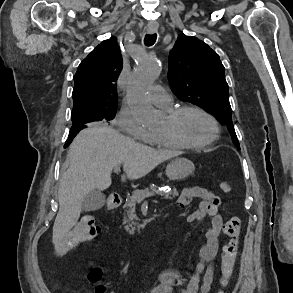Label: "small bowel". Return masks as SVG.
I'll return each mask as SVG.
<instances>
[{
    "mask_svg": "<svg viewBox=\"0 0 293 293\" xmlns=\"http://www.w3.org/2000/svg\"><path fill=\"white\" fill-rule=\"evenodd\" d=\"M195 198L201 201L198 207L188 214V222L197 223L205 217L210 218V224L205 232V243L200 248L199 260L193 269L185 272L176 270L160 272L157 277L158 283L152 288L151 293H209L211 291L215 270L210 264L218 252V238L224 220L219 211L220 198L201 187L182 189L175 206L183 210Z\"/></svg>",
    "mask_w": 293,
    "mask_h": 293,
    "instance_id": "obj_1",
    "label": "small bowel"
}]
</instances>
